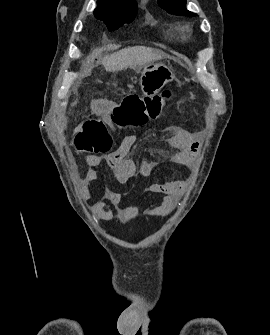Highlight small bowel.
Wrapping results in <instances>:
<instances>
[{
  "label": "small bowel",
  "mask_w": 270,
  "mask_h": 335,
  "mask_svg": "<svg viewBox=\"0 0 270 335\" xmlns=\"http://www.w3.org/2000/svg\"><path fill=\"white\" fill-rule=\"evenodd\" d=\"M111 105V101L108 100L97 101V106L103 110H108ZM169 130L170 136L167 138V145L174 152L166 159L179 165H194L195 157L200 147L197 136L178 125L170 126ZM134 142L135 137L132 134H126L115 151L105 156L91 155L85 160L86 169L82 178V195L84 197L88 195L89 185L96 181L98 177L96 167L104 160L119 183H127L137 175L147 177L152 173L153 169L160 163V160H144L141 162L139 168H137L135 162L128 157V153ZM186 188L187 182L180 179L151 183L147 187V191L161 195L162 197L157 204L148 209V215L155 217L167 216L174 209ZM121 203L122 194L106 188L103 200L93 204L90 207V211L102 221H109L113 218L114 214H117L121 221L125 222L137 210L138 205L121 206Z\"/></svg>",
  "instance_id": "obj_1"
}]
</instances>
